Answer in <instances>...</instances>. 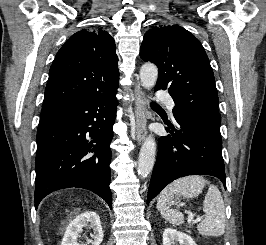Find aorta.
<instances>
[{
  "mask_svg": "<svg viewBox=\"0 0 266 245\" xmlns=\"http://www.w3.org/2000/svg\"><path fill=\"white\" fill-rule=\"evenodd\" d=\"M139 78L142 86L144 88H152L155 86L156 80L158 78V68L155 64L151 62H146L142 64L139 72ZM156 155V143L154 137H146L139 153V163H138V175L145 179L147 175H150L155 161Z\"/></svg>",
  "mask_w": 266,
  "mask_h": 245,
  "instance_id": "aorta-1",
  "label": "aorta"
}]
</instances>
